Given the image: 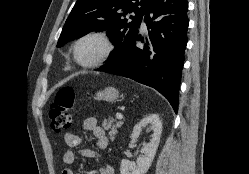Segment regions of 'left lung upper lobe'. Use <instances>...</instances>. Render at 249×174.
I'll return each mask as SVG.
<instances>
[{
  "label": "left lung upper lobe",
  "instance_id": "1",
  "mask_svg": "<svg viewBox=\"0 0 249 174\" xmlns=\"http://www.w3.org/2000/svg\"><path fill=\"white\" fill-rule=\"evenodd\" d=\"M151 0H77L62 29L57 47L91 31H108L116 48L107 65L116 63L126 46L137 36L142 16ZM134 12L129 22L125 17Z\"/></svg>",
  "mask_w": 249,
  "mask_h": 174
}]
</instances>
